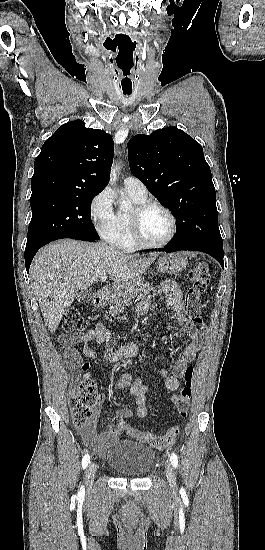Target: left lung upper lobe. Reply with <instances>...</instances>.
<instances>
[{
	"label": "left lung upper lobe",
	"mask_w": 265,
	"mask_h": 550,
	"mask_svg": "<svg viewBox=\"0 0 265 550\" xmlns=\"http://www.w3.org/2000/svg\"><path fill=\"white\" fill-rule=\"evenodd\" d=\"M130 170L177 221L171 244L223 253L216 192L202 146L177 127L134 136Z\"/></svg>",
	"instance_id": "1"
}]
</instances>
